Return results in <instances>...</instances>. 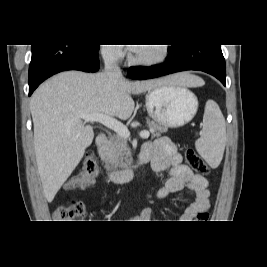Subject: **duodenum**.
Listing matches in <instances>:
<instances>
[{"instance_id": "410a0bca", "label": "duodenum", "mask_w": 267, "mask_h": 267, "mask_svg": "<svg viewBox=\"0 0 267 267\" xmlns=\"http://www.w3.org/2000/svg\"><path fill=\"white\" fill-rule=\"evenodd\" d=\"M106 145H107V135L103 132L99 133L96 137V146L98 150V154L102 160L105 158L106 154ZM148 162V158L144 156H140L136 162V164L132 167L124 168V169H111L107 166L104 167L105 176L108 180L114 183H120L129 181L134 177L135 170Z\"/></svg>"}]
</instances>
